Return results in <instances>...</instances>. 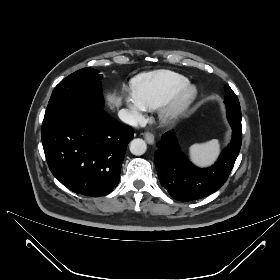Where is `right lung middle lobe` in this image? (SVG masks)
I'll use <instances>...</instances> for the list:
<instances>
[{"label":"right lung middle lobe","mask_w":280,"mask_h":280,"mask_svg":"<svg viewBox=\"0 0 280 280\" xmlns=\"http://www.w3.org/2000/svg\"><path fill=\"white\" fill-rule=\"evenodd\" d=\"M92 68L80 69L63 79L54 89L45 114L67 106L99 108L103 106L102 75Z\"/></svg>","instance_id":"1"}]
</instances>
